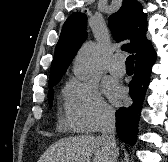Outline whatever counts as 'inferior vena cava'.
<instances>
[{
  "label": "inferior vena cava",
  "instance_id": "obj_1",
  "mask_svg": "<svg viewBox=\"0 0 168 162\" xmlns=\"http://www.w3.org/2000/svg\"><path fill=\"white\" fill-rule=\"evenodd\" d=\"M115 111L112 109H105L102 114L101 121V139L106 149H108L112 155V162H117L119 155L118 147L115 140Z\"/></svg>",
  "mask_w": 168,
  "mask_h": 162
}]
</instances>
